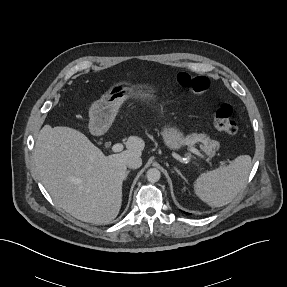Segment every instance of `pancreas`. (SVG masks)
Masks as SVG:
<instances>
[{"label": "pancreas", "mask_w": 287, "mask_h": 287, "mask_svg": "<svg viewBox=\"0 0 287 287\" xmlns=\"http://www.w3.org/2000/svg\"><path fill=\"white\" fill-rule=\"evenodd\" d=\"M196 142H201V149L208 155H214L215 150L219 148V142L210 140L205 134H192L183 140L184 144L192 145Z\"/></svg>", "instance_id": "pancreas-1"}]
</instances>
